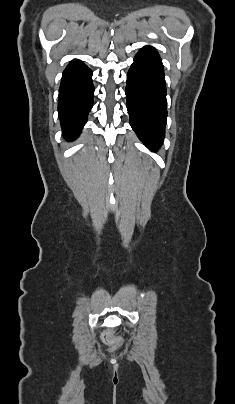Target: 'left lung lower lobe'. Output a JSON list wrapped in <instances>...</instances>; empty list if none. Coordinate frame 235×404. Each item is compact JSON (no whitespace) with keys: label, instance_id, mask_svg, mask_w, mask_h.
<instances>
[{"label":"left lung lower lobe","instance_id":"obj_1","mask_svg":"<svg viewBox=\"0 0 235 404\" xmlns=\"http://www.w3.org/2000/svg\"><path fill=\"white\" fill-rule=\"evenodd\" d=\"M126 98L132 129L145 146L157 150L165 135L167 101L163 65L155 48L145 46L135 56Z\"/></svg>","mask_w":235,"mask_h":404}]
</instances>
